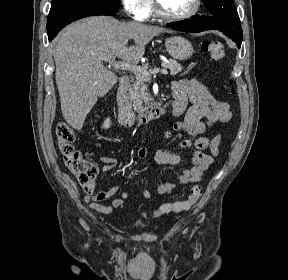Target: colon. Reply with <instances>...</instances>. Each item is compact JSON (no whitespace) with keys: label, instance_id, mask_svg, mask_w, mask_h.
<instances>
[{"label":"colon","instance_id":"colon-1","mask_svg":"<svg viewBox=\"0 0 288 280\" xmlns=\"http://www.w3.org/2000/svg\"><path fill=\"white\" fill-rule=\"evenodd\" d=\"M202 51L208 55L212 61H219L224 57L225 50L221 42L216 40H206L201 44ZM57 141L60 153L67 168L73 173L80 186L88 193L92 194L98 176L97 166L85 159L81 152L74 146L75 132L64 121L58 123L56 127ZM203 188L194 185L190 189L187 199L161 205L151 214L142 213L143 217L156 218L170 212H183L190 209L202 196Z\"/></svg>","mask_w":288,"mask_h":280}]
</instances>
